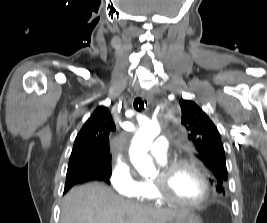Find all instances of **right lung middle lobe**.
Returning <instances> with one entry per match:
<instances>
[{"label": "right lung middle lobe", "instance_id": "dd1d6c3e", "mask_svg": "<svg viewBox=\"0 0 267 223\" xmlns=\"http://www.w3.org/2000/svg\"><path fill=\"white\" fill-rule=\"evenodd\" d=\"M93 167V165L88 164L87 162H76L73 164H70L68 166L67 175H70L77 171H90V169ZM110 168L109 174L104 175L105 176V182L108 181V178L111 176V165L108 166Z\"/></svg>", "mask_w": 267, "mask_h": 223}]
</instances>
